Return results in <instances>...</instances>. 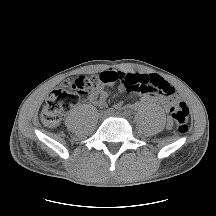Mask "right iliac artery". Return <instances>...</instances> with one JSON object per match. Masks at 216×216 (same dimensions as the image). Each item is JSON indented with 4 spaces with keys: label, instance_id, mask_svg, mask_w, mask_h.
Instances as JSON below:
<instances>
[{
    "label": "right iliac artery",
    "instance_id": "82829eb1",
    "mask_svg": "<svg viewBox=\"0 0 216 216\" xmlns=\"http://www.w3.org/2000/svg\"><path fill=\"white\" fill-rule=\"evenodd\" d=\"M108 112L111 113V114H113L115 112V109L114 108H109Z\"/></svg>",
    "mask_w": 216,
    "mask_h": 216
}]
</instances>
